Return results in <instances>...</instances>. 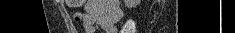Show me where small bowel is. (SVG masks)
I'll return each instance as SVG.
<instances>
[{"instance_id":"1","label":"small bowel","mask_w":235,"mask_h":33,"mask_svg":"<svg viewBox=\"0 0 235 33\" xmlns=\"http://www.w3.org/2000/svg\"><path fill=\"white\" fill-rule=\"evenodd\" d=\"M121 18L117 0H88L82 24L86 33H95L98 29L105 33H118L117 24Z\"/></svg>"}]
</instances>
